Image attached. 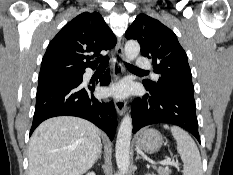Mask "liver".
<instances>
[{
  "instance_id": "obj_1",
  "label": "liver",
  "mask_w": 233,
  "mask_h": 175,
  "mask_svg": "<svg viewBox=\"0 0 233 175\" xmlns=\"http://www.w3.org/2000/svg\"><path fill=\"white\" fill-rule=\"evenodd\" d=\"M101 131L73 116L45 120L29 142L28 175H83L98 158Z\"/></svg>"
}]
</instances>
